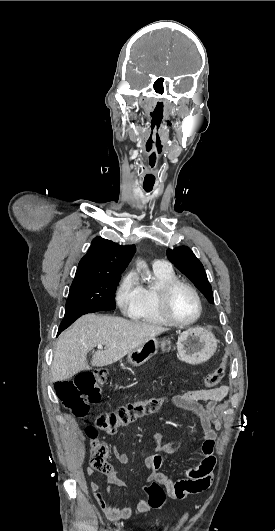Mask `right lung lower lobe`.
I'll list each match as a JSON object with an SVG mask.
<instances>
[{
    "label": "right lung lower lobe",
    "mask_w": 275,
    "mask_h": 531,
    "mask_svg": "<svg viewBox=\"0 0 275 531\" xmlns=\"http://www.w3.org/2000/svg\"><path fill=\"white\" fill-rule=\"evenodd\" d=\"M73 322H68V323H61L60 324V327H59V330H58V334L61 333L64 329H66L69 325H71Z\"/></svg>",
    "instance_id": "1"
}]
</instances>
